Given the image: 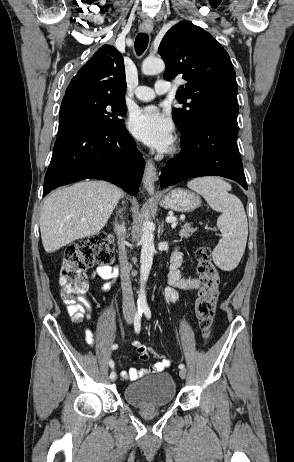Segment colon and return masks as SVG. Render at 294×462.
I'll return each instance as SVG.
<instances>
[{
  "label": "colon",
  "instance_id": "colon-1",
  "mask_svg": "<svg viewBox=\"0 0 294 462\" xmlns=\"http://www.w3.org/2000/svg\"><path fill=\"white\" fill-rule=\"evenodd\" d=\"M112 236L98 234L79 244L70 246L63 259L59 284L61 295L67 305L71 318L78 321L83 316V307L78 302L81 294L88 287L86 271L95 265H109L113 261L111 248ZM197 273L201 281L195 310L203 338L209 339L214 321L219 275L212 262L208 247H200L196 251ZM149 354L158 358L159 354L152 348Z\"/></svg>",
  "mask_w": 294,
  "mask_h": 462
}]
</instances>
